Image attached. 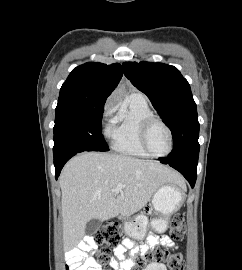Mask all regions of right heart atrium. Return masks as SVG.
I'll list each match as a JSON object with an SVG mask.
<instances>
[{
  "label": "right heart atrium",
  "instance_id": "right-heart-atrium-1",
  "mask_svg": "<svg viewBox=\"0 0 242 270\" xmlns=\"http://www.w3.org/2000/svg\"><path fill=\"white\" fill-rule=\"evenodd\" d=\"M115 110V104L113 101H110L107 106H106V109H105V116L106 117H109L113 114Z\"/></svg>",
  "mask_w": 242,
  "mask_h": 270
}]
</instances>
